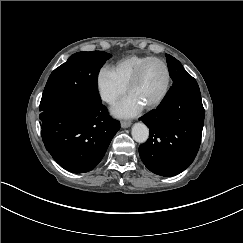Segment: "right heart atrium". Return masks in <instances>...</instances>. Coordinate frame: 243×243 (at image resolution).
Instances as JSON below:
<instances>
[{
  "mask_svg": "<svg viewBox=\"0 0 243 243\" xmlns=\"http://www.w3.org/2000/svg\"><path fill=\"white\" fill-rule=\"evenodd\" d=\"M95 89L100 100L106 103H114L126 93L111 68L108 65H101L95 74Z\"/></svg>",
  "mask_w": 243,
  "mask_h": 243,
  "instance_id": "1",
  "label": "right heart atrium"
}]
</instances>
